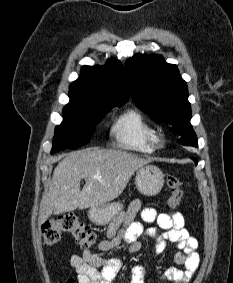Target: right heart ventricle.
I'll list each match as a JSON object with an SVG mask.
<instances>
[{
    "label": "right heart ventricle",
    "mask_w": 233,
    "mask_h": 283,
    "mask_svg": "<svg viewBox=\"0 0 233 283\" xmlns=\"http://www.w3.org/2000/svg\"><path fill=\"white\" fill-rule=\"evenodd\" d=\"M111 133L118 145L142 154L156 149L157 131L138 110L130 109L121 114L112 126Z\"/></svg>",
    "instance_id": "right-heart-ventricle-1"
}]
</instances>
